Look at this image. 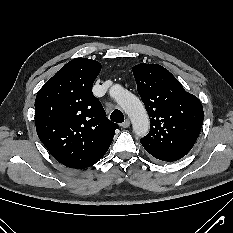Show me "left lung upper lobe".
Returning <instances> with one entry per match:
<instances>
[{"mask_svg":"<svg viewBox=\"0 0 233 233\" xmlns=\"http://www.w3.org/2000/svg\"><path fill=\"white\" fill-rule=\"evenodd\" d=\"M138 93L149 114V133L141 140L186 155L203 124L200 100L186 92L163 66L141 63L133 67Z\"/></svg>","mask_w":233,"mask_h":233,"instance_id":"1","label":"left lung upper lobe"}]
</instances>
